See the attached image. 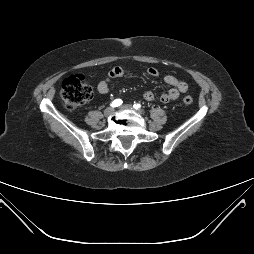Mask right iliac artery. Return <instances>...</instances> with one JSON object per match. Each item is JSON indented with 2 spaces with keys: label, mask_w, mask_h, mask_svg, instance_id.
<instances>
[{
  "label": "right iliac artery",
  "mask_w": 254,
  "mask_h": 254,
  "mask_svg": "<svg viewBox=\"0 0 254 254\" xmlns=\"http://www.w3.org/2000/svg\"><path fill=\"white\" fill-rule=\"evenodd\" d=\"M122 103H123V102H122L121 99H116V100L112 101L111 106H112V107H118V106H120Z\"/></svg>",
  "instance_id": "obj_1"
}]
</instances>
